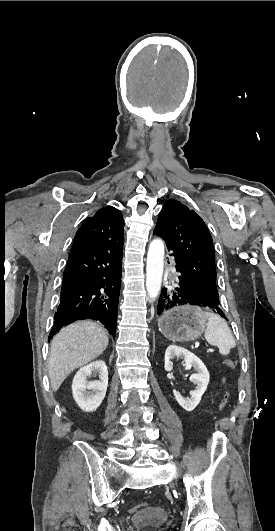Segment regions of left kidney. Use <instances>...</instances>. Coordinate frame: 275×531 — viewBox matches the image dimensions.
<instances>
[{
  "label": "left kidney",
  "instance_id": "5707ae66",
  "mask_svg": "<svg viewBox=\"0 0 275 531\" xmlns=\"http://www.w3.org/2000/svg\"><path fill=\"white\" fill-rule=\"evenodd\" d=\"M174 357H182V359H184L185 369H191V367H194L197 371L195 375H191L190 377L191 383L197 385L195 391H192L190 399H183L178 391H173L177 403H179L185 411H193V409L199 405L201 397L208 387L210 375L204 363H202L196 355H193V353H190L187 349H183V347H176V345H169L165 351V371H172L171 359H174Z\"/></svg>",
  "mask_w": 275,
  "mask_h": 531
}]
</instances>
